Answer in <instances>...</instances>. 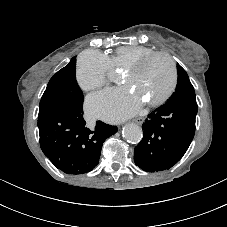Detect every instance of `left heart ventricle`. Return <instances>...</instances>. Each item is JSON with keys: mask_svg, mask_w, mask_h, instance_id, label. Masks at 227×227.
Segmentation results:
<instances>
[{"mask_svg": "<svg viewBox=\"0 0 227 227\" xmlns=\"http://www.w3.org/2000/svg\"><path fill=\"white\" fill-rule=\"evenodd\" d=\"M128 87L144 102L152 101L163 95L171 85L172 69L164 57L151 60L140 72L123 77Z\"/></svg>", "mask_w": 227, "mask_h": 227, "instance_id": "obj_1", "label": "left heart ventricle"}]
</instances>
